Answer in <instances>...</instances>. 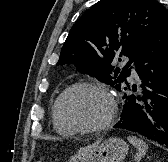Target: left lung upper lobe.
Here are the masks:
<instances>
[{
    "instance_id": "obj_1",
    "label": "left lung upper lobe",
    "mask_w": 168,
    "mask_h": 162,
    "mask_svg": "<svg viewBox=\"0 0 168 162\" xmlns=\"http://www.w3.org/2000/svg\"><path fill=\"white\" fill-rule=\"evenodd\" d=\"M167 16L156 0H101L73 25L57 65L74 64L79 72L120 91L128 67ZM119 52L129 62L117 75L120 70L110 63Z\"/></svg>"
}]
</instances>
